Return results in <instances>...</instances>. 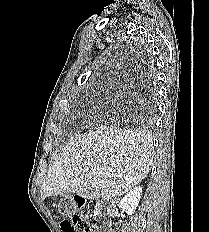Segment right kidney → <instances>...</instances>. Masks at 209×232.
Segmentation results:
<instances>
[{
	"mask_svg": "<svg viewBox=\"0 0 209 232\" xmlns=\"http://www.w3.org/2000/svg\"><path fill=\"white\" fill-rule=\"evenodd\" d=\"M142 195V187H134L120 201L119 208L129 215H132L138 207Z\"/></svg>",
	"mask_w": 209,
	"mask_h": 232,
	"instance_id": "ca27d5eb",
	"label": "right kidney"
}]
</instances>
